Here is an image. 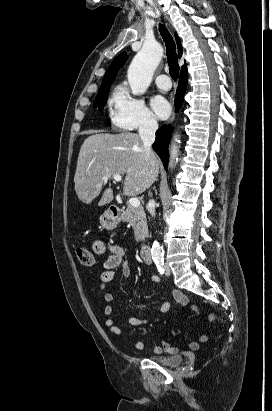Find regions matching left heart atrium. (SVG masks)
<instances>
[{
    "instance_id": "obj_1",
    "label": "left heart atrium",
    "mask_w": 272,
    "mask_h": 411,
    "mask_svg": "<svg viewBox=\"0 0 272 411\" xmlns=\"http://www.w3.org/2000/svg\"><path fill=\"white\" fill-rule=\"evenodd\" d=\"M151 106L157 116L161 119H165L170 113L169 103L161 96H155L151 100Z\"/></svg>"
}]
</instances>
